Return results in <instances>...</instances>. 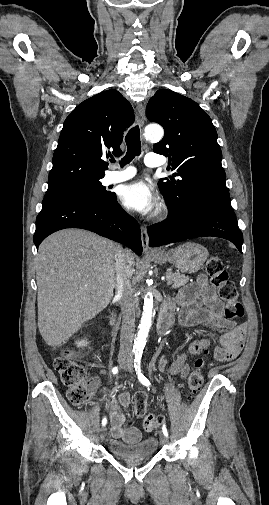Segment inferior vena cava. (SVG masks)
<instances>
[{
    "label": "inferior vena cava",
    "instance_id": "602c4592",
    "mask_svg": "<svg viewBox=\"0 0 269 505\" xmlns=\"http://www.w3.org/2000/svg\"><path fill=\"white\" fill-rule=\"evenodd\" d=\"M115 267V288L117 294L120 296V306L123 318L120 335V349L122 351L130 352L133 345L135 330V299L129 280L126 253L120 246L116 248L115 252Z\"/></svg>",
    "mask_w": 269,
    "mask_h": 505
}]
</instances>
